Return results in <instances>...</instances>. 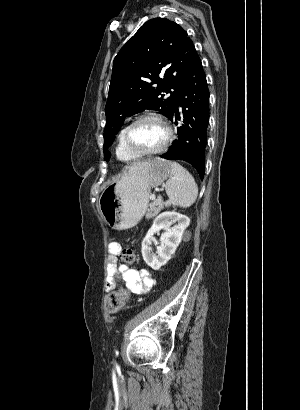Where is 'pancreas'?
Masks as SVG:
<instances>
[{
  "mask_svg": "<svg viewBox=\"0 0 300 410\" xmlns=\"http://www.w3.org/2000/svg\"><path fill=\"white\" fill-rule=\"evenodd\" d=\"M162 208V202L160 199H155L153 202L149 204V208L147 209L146 212V218L151 219L155 217L161 210Z\"/></svg>",
  "mask_w": 300,
  "mask_h": 410,
  "instance_id": "obj_1",
  "label": "pancreas"
}]
</instances>
